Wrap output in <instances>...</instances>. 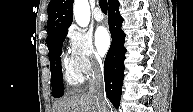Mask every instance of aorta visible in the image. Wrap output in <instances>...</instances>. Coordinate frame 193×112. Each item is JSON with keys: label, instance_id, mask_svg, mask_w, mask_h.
<instances>
[{"label": "aorta", "instance_id": "aorta-1", "mask_svg": "<svg viewBox=\"0 0 193 112\" xmlns=\"http://www.w3.org/2000/svg\"><path fill=\"white\" fill-rule=\"evenodd\" d=\"M74 19L79 26H88L90 21V6L88 0H75Z\"/></svg>", "mask_w": 193, "mask_h": 112}]
</instances>
